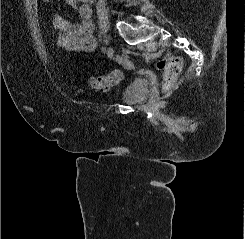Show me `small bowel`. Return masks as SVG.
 Here are the masks:
<instances>
[{
	"mask_svg": "<svg viewBox=\"0 0 245 239\" xmlns=\"http://www.w3.org/2000/svg\"><path fill=\"white\" fill-rule=\"evenodd\" d=\"M78 14L79 21L72 23L62 14L54 13L52 25L57 32V45L72 52H92L97 46L92 21L94 0H65Z\"/></svg>",
	"mask_w": 245,
	"mask_h": 239,
	"instance_id": "small-bowel-1",
	"label": "small bowel"
}]
</instances>
